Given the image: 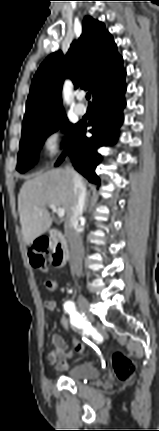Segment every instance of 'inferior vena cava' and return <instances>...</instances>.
<instances>
[{
    "label": "inferior vena cava",
    "mask_w": 159,
    "mask_h": 431,
    "mask_svg": "<svg viewBox=\"0 0 159 431\" xmlns=\"http://www.w3.org/2000/svg\"><path fill=\"white\" fill-rule=\"evenodd\" d=\"M66 171L72 174L74 203L72 214L65 223V235L68 239L72 257V271L78 276L82 273L80 261L83 256V242L79 232V218L83 213L86 201V188L82 178L71 167L67 166Z\"/></svg>",
    "instance_id": "1"
}]
</instances>
